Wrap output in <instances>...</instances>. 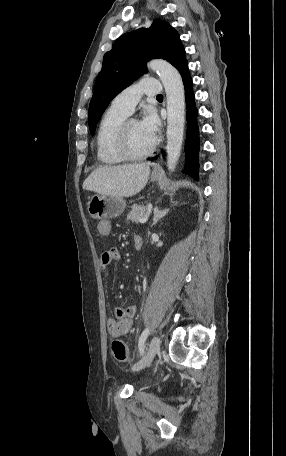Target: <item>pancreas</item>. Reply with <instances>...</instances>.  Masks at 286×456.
Instances as JSON below:
<instances>
[{"instance_id":"obj_1","label":"pancreas","mask_w":286,"mask_h":456,"mask_svg":"<svg viewBox=\"0 0 286 456\" xmlns=\"http://www.w3.org/2000/svg\"><path fill=\"white\" fill-rule=\"evenodd\" d=\"M131 211L129 212V214L127 215V220L131 221V222H136L138 223L139 220L141 218H143L147 211H148V207L147 206H141V205H132L131 207Z\"/></svg>"}]
</instances>
